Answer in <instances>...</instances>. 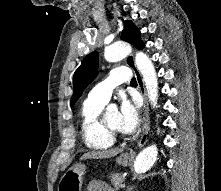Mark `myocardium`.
<instances>
[{
	"instance_id": "1",
	"label": "myocardium",
	"mask_w": 221,
	"mask_h": 191,
	"mask_svg": "<svg viewBox=\"0 0 221 191\" xmlns=\"http://www.w3.org/2000/svg\"><path fill=\"white\" fill-rule=\"evenodd\" d=\"M107 130L111 133L114 138H122L123 134L120 130L111 127L108 123H104Z\"/></svg>"
}]
</instances>
